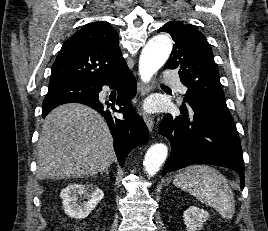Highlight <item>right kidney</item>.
<instances>
[{"label": "right kidney", "instance_id": "obj_1", "mask_svg": "<svg viewBox=\"0 0 268 231\" xmlns=\"http://www.w3.org/2000/svg\"><path fill=\"white\" fill-rule=\"evenodd\" d=\"M60 197L63 200L64 211L68 216L83 219L103 199L104 193L93 184H71L61 191ZM81 199H85V201L81 202Z\"/></svg>", "mask_w": 268, "mask_h": 231}]
</instances>
